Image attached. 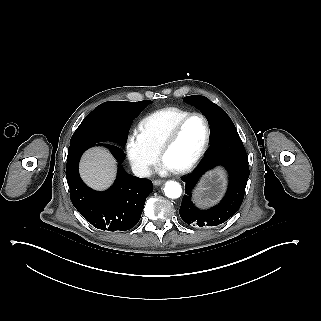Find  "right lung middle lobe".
<instances>
[{
    "label": "right lung middle lobe",
    "instance_id": "obj_1",
    "mask_svg": "<svg viewBox=\"0 0 321 321\" xmlns=\"http://www.w3.org/2000/svg\"><path fill=\"white\" fill-rule=\"evenodd\" d=\"M141 109L146 108L152 103L150 100L140 102H132ZM109 130L104 123V120L99 117L98 108L96 107L90 114H88L79 127L76 129L70 140V146L80 142H104L110 141Z\"/></svg>",
    "mask_w": 321,
    "mask_h": 321
}]
</instances>
